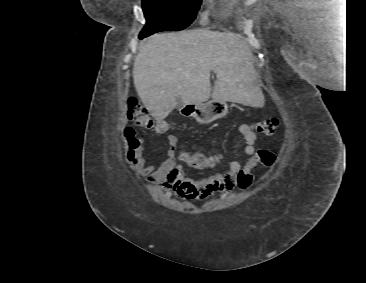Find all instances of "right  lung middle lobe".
Instances as JSON below:
<instances>
[{
  "mask_svg": "<svg viewBox=\"0 0 366 283\" xmlns=\"http://www.w3.org/2000/svg\"><path fill=\"white\" fill-rule=\"evenodd\" d=\"M202 0H142L146 25L139 38L159 31L182 30L195 19Z\"/></svg>",
  "mask_w": 366,
  "mask_h": 283,
  "instance_id": "obj_1",
  "label": "right lung middle lobe"
}]
</instances>
